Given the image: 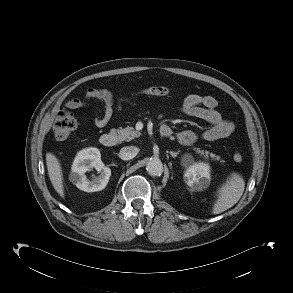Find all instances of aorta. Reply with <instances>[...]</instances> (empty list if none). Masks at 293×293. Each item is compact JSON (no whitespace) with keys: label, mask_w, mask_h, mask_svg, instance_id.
Listing matches in <instances>:
<instances>
[{"label":"aorta","mask_w":293,"mask_h":293,"mask_svg":"<svg viewBox=\"0 0 293 293\" xmlns=\"http://www.w3.org/2000/svg\"><path fill=\"white\" fill-rule=\"evenodd\" d=\"M146 170L151 176H161L163 173V164L160 159L152 158L147 162Z\"/></svg>","instance_id":"1"}]
</instances>
